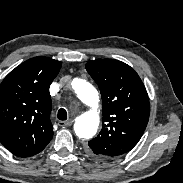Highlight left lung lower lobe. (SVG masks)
Segmentation results:
<instances>
[{"instance_id":"left-lung-lower-lobe-1","label":"left lung lower lobe","mask_w":183,"mask_h":183,"mask_svg":"<svg viewBox=\"0 0 183 183\" xmlns=\"http://www.w3.org/2000/svg\"><path fill=\"white\" fill-rule=\"evenodd\" d=\"M89 154H90L93 158L98 159V160H108V158H105V157L100 156V155H97V154H93V153H90V152H89Z\"/></svg>"}]
</instances>
